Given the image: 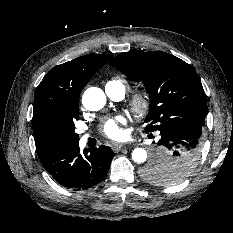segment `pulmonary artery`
<instances>
[{
    "mask_svg": "<svg viewBox=\"0 0 233 233\" xmlns=\"http://www.w3.org/2000/svg\"><path fill=\"white\" fill-rule=\"evenodd\" d=\"M106 92L111 98H113L115 100H121L123 98V96H124L123 92H109L107 90H106ZM87 137H88V135H84L82 137V142L83 143L87 140Z\"/></svg>",
    "mask_w": 233,
    "mask_h": 233,
    "instance_id": "e3ab8cb5",
    "label": "pulmonary artery"
}]
</instances>
